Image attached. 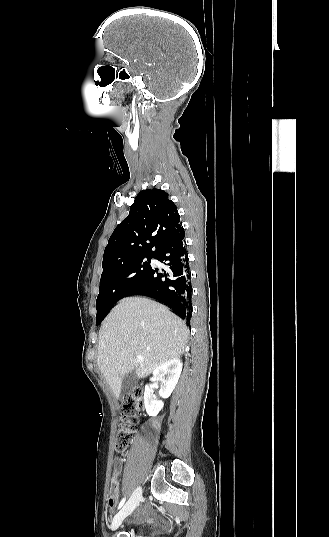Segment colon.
<instances>
[{
	"mask_svg": "<svg viewBox=\"0 0 329 537\" xmlns=\"http://www.w3.org/2000/svg\"><path fill=\"white\" fill-rule=\"evenodd\" d=\"M142 392L140 389H134L128 394L123 401L121 408L122 427L115 436L114 449L117 453H123L129 447L135 426L138 421V411L140 409ZM113 488L110 490V495Z\"/></svg>",
	"mask_w": 329,
	"mask_h": 537,
	"instance_id": "1",
	"label": "colon"
}]
</instances>
